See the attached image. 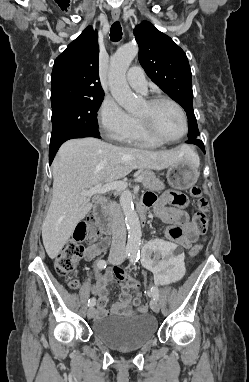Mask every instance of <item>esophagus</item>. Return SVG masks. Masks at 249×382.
<instances>
[{
    "instance_id": "34e87169",
    "label": "esophagus",
    "mask_w": 249,
    "mask_h": 382,
    "mask_svg": "<svg viewBox=\"0 0 249 382\" xmlns=\"http://www.w3.org/2000/svg\"><path fill=\"white\" fill-rule=\"evenodd\" d=\"M119 17H120V9H118V8L113 9L112 10V18L114 20H118Z\"/></svg>"
}]
</instances>
